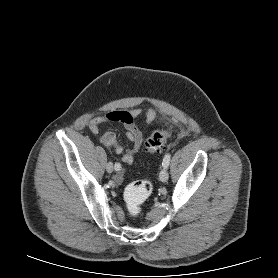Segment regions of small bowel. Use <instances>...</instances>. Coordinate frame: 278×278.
Returning a JSON list of instances; mask_svg holds the SVG:
<instances>
[{
    "mask_svg": "<svg viewBox=\"0 0 278 278\" xmlns=\"http://www.w3.org/2000/svg\"><path fill=\"white\" fill-rule=\"evenodd\" d=\"M140 108H134L130 110L112 111L103 116H97L93 118L89 123V128L93 133H98L100 126L109 122L122 123L126 129V139L132 143L130 149L125 150L117 141L116 135L112 131H107L101 136V142L108 148L114 149V151L121 155L123 162L132 164L135 161V156L140 151L143 141V134L136 124V120L142 115ZM145 121L147 123L153 122L157 113L154 109H148L144 113ZM116 180L119 182L122 180V175H117Z\"/></svg>",
    "mask_w": 278,
    "mask_h": 278,
    "instance_id": "obj_1",
    "label": "small bowel"
}]
</instances>
